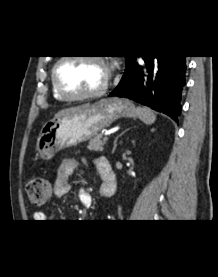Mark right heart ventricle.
<instances>
[{
    "mask_svg": "<svg viewBox=\"0 0 218 277\" xmlns=\"http://www.w3.org/2000/svg\"><path fill=\"white\" fill-rule=\"evenodd\" d=\"M52 92H53V97L56 99V100H59V101H64V99L56 92L54 86H53V82H52Z\"/></svg>",
    "mask_w": 218,
    "mask_h": 277,
    "instance_id": "e07e8e85",
    "label": "right heart ventricle"
}]
</instances>
